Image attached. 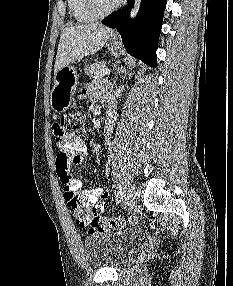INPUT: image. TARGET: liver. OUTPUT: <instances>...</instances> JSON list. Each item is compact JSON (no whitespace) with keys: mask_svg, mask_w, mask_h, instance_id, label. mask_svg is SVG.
Here are the masks:
<instances>
[{"mask_svg":"<svg viewBox=\"0 0 233 286\" xmlns=\"http://www.w3.org/2000/svg\"><path fill=\"white\" fill-rule=\"evenodd\" d=\"M114 31L100 23L82 24L63 29L58 45L54 73L77 59L100 50Z\"/></svg>","mask_w":233,"mask_h":286,"instance_id":"obj_1","label":"liver"}]
</instances>
